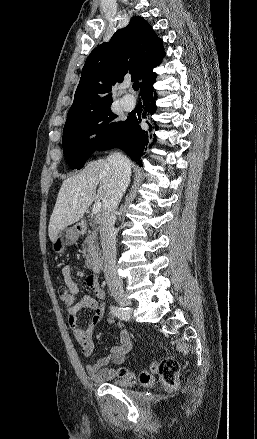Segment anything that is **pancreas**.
<instances>
[{"label": "pancreas", "mask_w": 257, "mask_h": 439, "mask_svg": "<svg viewBox=\"0 0 257 439\" xmlns=\"http://www.w3.org/2000/svg\"><path fill=\"white\" fill-rule=\"evenodd\" d=\"M92 230H89L83 245V255L86 258L85 264L90 268L94 259L98 256L97 227L95 223H90Z\"/></svg>", "instance_id": "cf45deb5"}]
</instances>
